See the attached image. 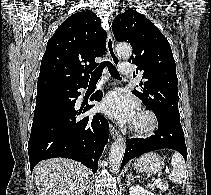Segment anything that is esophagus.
I'll return each mask as SVG.
<instances>
[{
    "mask_svg": "<svg viewBox=\"0 0 211 195\" xmlns=\"http://www.w3.org/2000/svg\"><path fill=\"white\" fill-rule=\"evenodd\" d=\"M107 51L112 63L118 66L120 60L115 52L113 34L110 30L107 32ZM110 134L112 138H115L119 135V131L113 125H110Z\"/></svg>",
    "mask_w": 211,
    "mask_h": 195,
    "instance_id": "obj_1",
    "label": "esophagus"
}]
</instances>
